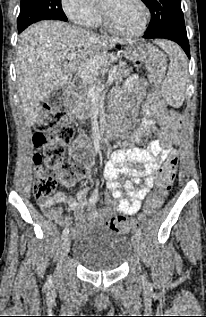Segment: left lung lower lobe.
I'll use <instances>...</instances> for the list:
<instances>
[{
  "instance_id": "1",
  "label": "left lung lower lobe",
  "mask_w": 206,
  "mask_h": 317,
  "mask_svg": "<svg viewBox=\"0 0 206 317\" xmlns=\"http://www.w3.org/2000/svg\"><path fill=\"white\" fill-rule=\"evenodd\" d=\"M144 38L150 39V38H162V39H168L176 42L179 44L182 49L185 51L187 56L190 58V50H189V43L187 38L186 32H179V31H163L157 34L153 35H144Z\"/></svg>"
}]
</instances>
